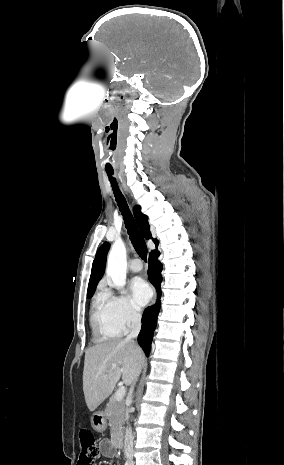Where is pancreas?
Here are the masks:
<instances>
[{
  "instance_id": "obj_1",
  "label": "pancreas",
  "mask_w": 284,
  "mask_h": 465,
  "mask_svg": "<svg viewBox=\"0 0 284 465\" xmlns=\"http://www.w3.org/2000/svg\"><path fill=\"white\" fill-rule=\"evenodd\" d=\"M125 415V403L124 401H115V395H112L109 399V403L106 407L105 417L109 421L111 427V441H115L119 433H121L122 425H124Z\"/></svg>"
}]
</instances>
